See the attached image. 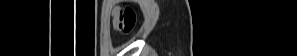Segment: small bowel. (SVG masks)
Returning <instances> with one entry per match:
<instances>
[{"label":"small bowel","mask_w":297,"mask_h":56,"mask_svg":"<svg viewBox=\"0 0 297 56\" xmlns=\"http://www.w3.org/2000/svg\"><path fill=\"white\" fill-rule=\"evenodd\" d=\"M116 16H117V14H115L114 21H113L114 28H115V24H116Z\"/></svg>","instance_id":"small-bowel-1"}]
</instances>
